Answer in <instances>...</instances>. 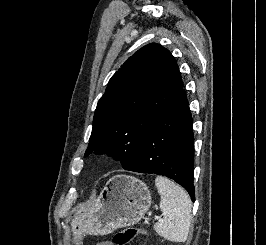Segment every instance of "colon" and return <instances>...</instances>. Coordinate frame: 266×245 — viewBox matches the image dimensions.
<instances>
[{
	"instance_id": "5ec220e1",
	"label": "colon",
	"mask_w": 266,
	"mask_h": 245,
	"mask_svg": "<svg viewBox=\"0 0 266 245\" xmlns=\"http://www.w3.org/2000/svg\"><path fill=\"white\" fill-rule=\"evenodd\" d=\"M144 230L138 227H126L117 232L112 238V245H128L134 238L144 234Z\"/></svg>"
}]
</instances>
